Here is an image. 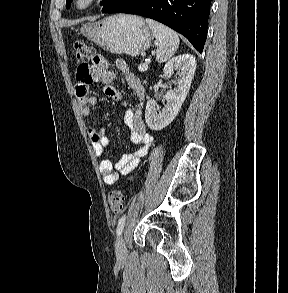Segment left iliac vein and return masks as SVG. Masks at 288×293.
I'll use <instances>...</instances> for the list:
<instances>
[{
  "instance_id": "1",
  "label": "left iliac vein",
  "mask_w": 288,
  "mask_h": 293,
  "mask_svg": "<svg viewBox=\"0 0 288 293\" xmlns=\"http://www.w3.org/2000/svg\"><path fill=\"white\" fill-rule=\"evenodd\" d=\"M116 255L123 258L126 255V245L122 236H119L116 241Z\"/></svg>"
}]
</instances>
